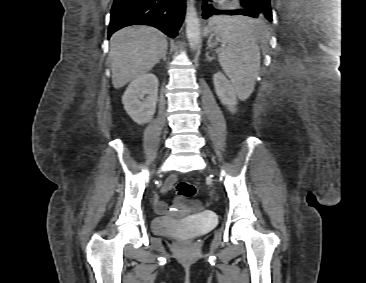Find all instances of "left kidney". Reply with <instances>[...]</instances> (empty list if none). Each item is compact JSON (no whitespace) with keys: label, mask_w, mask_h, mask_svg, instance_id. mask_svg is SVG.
<instances>
[{"label":"left kidney","mask_w":366,"mask_h":283,"mask_svg":"<svg viewBox=\"0 0 366 283\" xmlns=\"http://www.w3.org/2000/svg\"><path fill=\"white\" fill-rule=\"evenodd\" d=\"M214 88L221 103L231 112H235L237 105L236 91L223 73L218 72L213 77Z\"/></svg>","instance_id":"obj_1"}]
</instances>
